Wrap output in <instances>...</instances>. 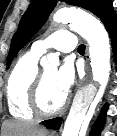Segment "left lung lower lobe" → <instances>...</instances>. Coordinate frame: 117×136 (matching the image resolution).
Listing matches in <instances>:
<instances>
[{
  "label": "left lung lower lobe",
  "instance_id": "0a47b994",
  "mask_svg": "<svg viewBox=\"0 0 117 136\" xmlns=\"http://www.w3.org/2000/svg\"><path fill=\"white\" fill-rule=\"evenodd\" d=\"M104 26L106 30L109 32L111 41H112V49L114 53V58L117 61V15H112L109 17L105 22ZM108 106L105 105L100 114L98 119L93 125L92 131L90 133V136H99L100 132L102 130L104 120H105V115L107 111ZM43 125L48 128V129H59L61 125V118H55L51 120H47L43 122Z\"/></svg>",
  "mask_w": 117,
  "mask_h": 136
}]
</instances>
